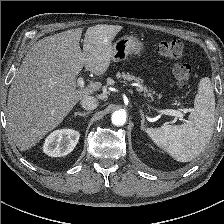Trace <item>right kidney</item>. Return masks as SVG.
<instances>
[{
    "mask_svg": "<svg viewBox=\"0 0 224 224\" xmlns=\"http://www.w3.org/2000/svg\"><path fill=\"white\" fill-rule=\"evenodd\" d=\"M79 137V132L73 129L55 130L45 139L43 152L51 157L65 156L73 151Z\"/></svg>",
    "mask_w": 224,
    "mask_h": 224,
    "instance_id": "right-kidney-1",
    "label": "right kidney"
}]
</instances>
